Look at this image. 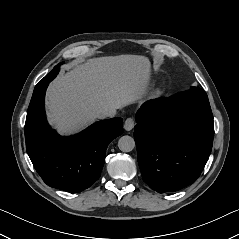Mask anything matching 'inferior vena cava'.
Instances as JSON below:
<instances>
[{
  "instance_id": "inferior-vena-cava-1",
  "label": "inferior vena cava",
  "mask_w": 239,
  "mask_h": 239,
  "mask_svg": "<svg viewBox=\"0 0 239 239\" xmlns=\"http://www.w3.org/2000/svg\"><path fill=\"white\" fill-rule=\"evenodd\" d=\"M114 115H115V110L110 109V110H105L98 113L97 117L100 119H105V118L114 117Z\"/></svg>"
}]
</instances>
